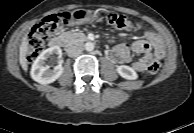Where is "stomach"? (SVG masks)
<instances>
[{
  "instance_id": "1",
  "label": "stomach",
  "mask_w": 194,
  "mask_h": 133,
  "mask_svg": "<svg viewBox=\"0 0 194 133\" xmlns=\"http://www.w3.org/2000/svg\"><path fill=\"white\" fill-rule=\"evenodd\" d=\"M93 18L94 16L92 15L90 11L79 9L73 12L71 23L72 24H84V23L90 22Z\"/></svg>"
}]
</instances>
